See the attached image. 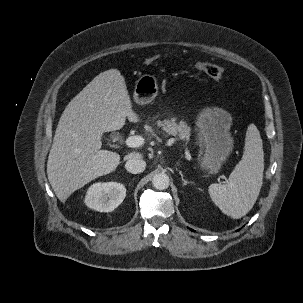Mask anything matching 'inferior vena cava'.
<instances>
[{
	"instance_id": "1",
	"label": "inferior vena cava",
	"mask_w": 303,
	"mask_h": 303,
	"mask_svg": "<svg viewBox=\"0 0 303 303\" xmlns=\"http://www.w3.org/2000/svg\"><path fill=\"white\" fill-rule=\"evenodd\" d=\"M146 162L140 157H134L127 160L125 168L132 174H138L145 170Z\"/></svg>"
}]
</instances>
